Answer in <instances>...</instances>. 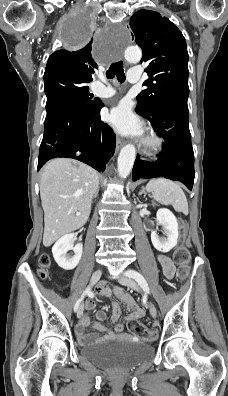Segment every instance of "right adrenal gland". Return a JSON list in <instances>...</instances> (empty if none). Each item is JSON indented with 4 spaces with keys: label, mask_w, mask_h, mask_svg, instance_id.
I'll return each instance as SVG.
<instances>
[{
    "label": "right adrenal gland",
    "mask_w": 228,
    "mask_h": 396,
    "mask_svg": "<svg viewBox=\"0 0 228 396\" xmlns=\"http://www.w3.org/2000/svg\"><path fill=\"white\" fill-rule=\"evenodd\" d=\"M98 192H99V188H98V190L95 192L93 198H96V197L98 196Z\"/></svg>",
    "instance_id": "right-adrenal-gland-1"
}]
</instances>
